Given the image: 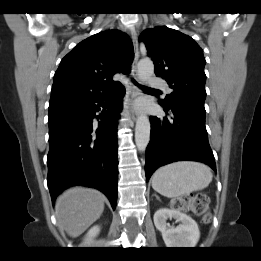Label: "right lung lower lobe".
Returning <instances> with one entry per match:
<instances>
[{
  "label": "right lung lower lobe",
  "mask_w": 261,
  "mask_h": 261,
  "mask_svg": "<svg viewBox=\"0 0 261 261\" xmlns=\"http://www.w3.org/2000/svg\"><path fill=\"white\" fill-rule=\"evenodd\" d=\"M125 89L49 108L47 183L52 202L66 188L102 191L116 208L117 125ZM99 113V115H97Z\"/></svg>",
  "instance_id": "obj_1"
}]
</instances>
